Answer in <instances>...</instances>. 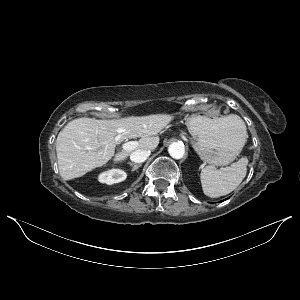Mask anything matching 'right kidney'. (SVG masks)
<instances>
[{"label": "right kidney", "instance_id": "ca27d5eb", "mask_svg": "<svg viewBox=\"0 0 300 300\" xmlns=\"http://www.w3.org/2000/svg\"><path fill=\"white\" fill-rule=\"evenodd\" d=\"M127 174L121 169H111L101 173L98 176V180L101 183H106L108 185H112L115 183L122 182L126 179Z\"/></svg>", "mask_w": 300, "mask_h": 300}]
</instances>
